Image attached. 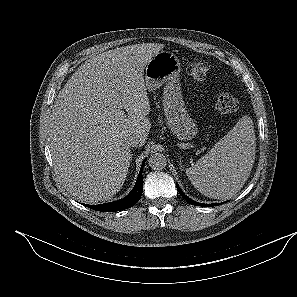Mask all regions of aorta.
<instances>
[{
	"instance_id": "1",
	"label": "aorta",
	"mask_w": 297,
	"mask_h": 297,
	"mask_svg": "<svg viewBox=\"0 0 297 297\" xmlns=\"http://www.w3.org/2000/svg\"><path fill=\"white\" fill-rule=\"evenodd\" d=\"M148 164L154 170H161L166 166V157L162 153H153L148 160Z\"/></svg>"
}]
</instances>
